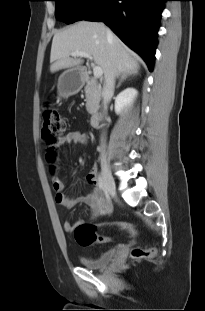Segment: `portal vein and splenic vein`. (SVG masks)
Here are the masks:
<instances>
[{"mask_svg": "<svg viewBox=\"0 0 205 311\" xmlns=\"http://www.w3.org/2000/svg\"><path fill=\"white\" fill-rule=\"evenodd\" d=\"M71 56L73 57H83V58H87L89 60H93L92 56H90L89 54L83 53V52H72ZM93 66V74L95 78H98L100 76H102L103 71L102 68L99 66H96L95 64L92 63Z\"/></svg>", "mask_w": 205, "mask_h": 311, "instance_id": "obj_1", "label": "portal vein and splenic vein"}]
</instances>
